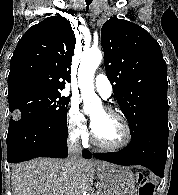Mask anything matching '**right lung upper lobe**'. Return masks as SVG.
Masks as SVG:
<instances>
[{"mask_svg": "<svg viewBox=\"0 0 178 195\" xmlns=\"http://www.w3.org/2000/svg\"><path fill=\"white\" fill-rule=\"evenodd\" d=\"M75 44L70 22L59 14L28 29L10 61L8 96L26 90L65 88Z\"/></svg>", "mask_w": 178, "mask_h": 195, "instance_id": "cb5924a9", "label": "right lung upper lobe"}]
</instances>
